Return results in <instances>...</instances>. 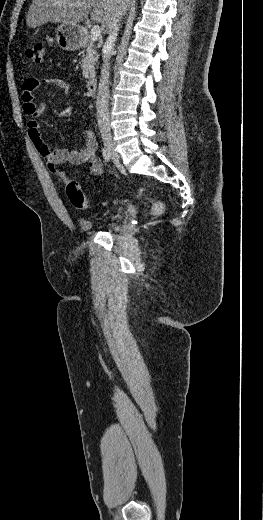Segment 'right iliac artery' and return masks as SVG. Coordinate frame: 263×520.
Here are the masks:
<instances>
[{"label":"right iliac artery","mask_w":263,"mask_h":520,"mask_svg":"<svg viewBox=\"0 0 263 520\" xmlns=\"http://www.w3.org/2000/svg\"><path fill=\"white\" fill-rule=\"evenodd\" d=\"M102 155L106 163L110 161V155L105 148L102 149Z\"/></svg>","instance_id":"1"}]
</instances>
